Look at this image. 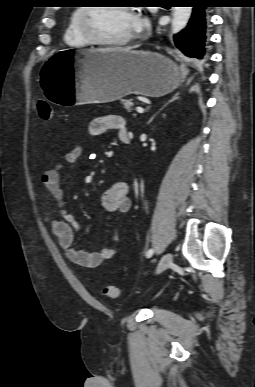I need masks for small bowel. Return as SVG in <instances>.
Masks as SVG:
<instances>
[{
  "mask_svg": "<svg viewBox=\"0 0 255 387\" xmlns=\"http://www.w3.org/2000/svg\"><path fill=\"white\" fill-rule=\"evenodd\" d=\"M108 130H116L119 138L123 133L128 134L124 118L116 114L97 116L89 124V132L93 136L102 135ZM82 154V146H75L52 169L46 170L42 174L41 181L59 211L61 218L52 220L51 229L67 258L77 265L86 268H97L104 261L112 259L115 256L116 248L114 244L118 240V234L116 232L113 235L112 244L104 247L100 252L83 251L75 245V230L79 228V223L66 209L65 194L61 181L65 166L75 165ZM128 191L129 188L126 182L117 181L113 183L102 195L103 208L107 212H129L132 202Z\"/></svg>",
  "mask_w": 255,
  "mask_h": 387,
  "instance_id": "1",
  "label": "small bowel"
}]
</instances>
